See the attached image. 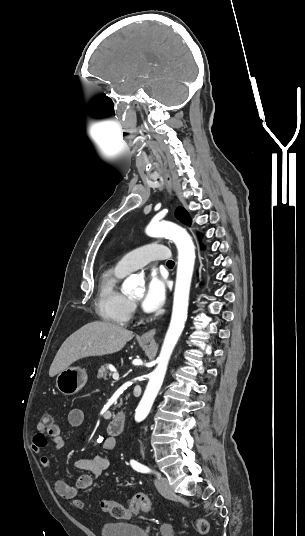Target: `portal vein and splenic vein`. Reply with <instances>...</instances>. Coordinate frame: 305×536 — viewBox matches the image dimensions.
Instances as JSON below:
<instances>
[{
    "instance_id": "18ae733b",
    "label": "portal vein and splenic vein",
    "mask_w": 305,
    "mask_h": 536,
    "mask_svg": "<svg viewBox=\"0 0 305 536\" xmlns=\"http://www.w3.org/2000/svg\"><path fill=\"white\" fill-rule=\"evenodd\" d=\"M112 372H114V374H113V380H119V374H118V372H115V370H112Z\"/></svg>"
}]
</instances>
